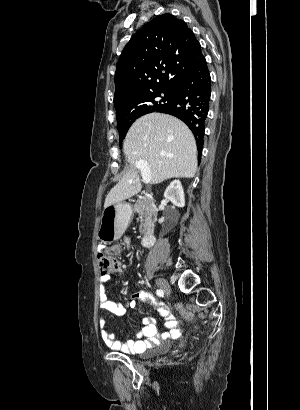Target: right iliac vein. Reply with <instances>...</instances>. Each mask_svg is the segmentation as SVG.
Instances as JSON below:
<instances>
[{
	"label": "right iliac vein",
	"mask_w": 300,
	"mask_h": 410,
	"mask_svg": "<svg viewBox=\"0 0 300 410\" xmlns=\"http://www.w3.org/2000/svg\"><path fill=\"white\" fill-rule=\"evenodd\" d=\"M156 284L161 290L165 292H169L171 290L169 283L165 279H162V278L156 279Z\"/></svg>",
	"instance_id": "63e3f726"
}]
</instances>
